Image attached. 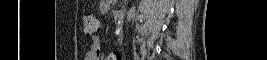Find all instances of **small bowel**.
Here are the masks:
<instances>
[{
    "mask_svg": "<svg viewBox=\"0 0 267 60\" xmlns=\"http://www.w3.org/2000/svg\"><path fill=\"white\" fill-rule=\"evenodd\" d=\"M101 40L98 34L91 35L90 47L87 50L85 59L86 60H97L101 53ZM105 60H121V55L117 51H113L107 55Z\"/></svg>",
    "mask_w": 267,
    "mask_h": 60,
    "instance_id": "small-bowel-1",
    "label": "small bowel"
}]
</instances>
